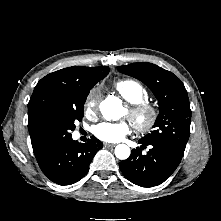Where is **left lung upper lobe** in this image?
<instances>
[{
	"label": "left lung upper lobe",
	"instance_id": "obj_1",
	"mask_svg": "<svg viewBox=\"0 0 221 221\" xmlns=\"http://www.w3.org/2000/svg\"><path fill=\"white\" fill-rule=\"evenodd\" d=\"M117 69L142 81L158 100L155 129L141 140L169 145L184 152L190 135L191 109L183 83L172 72L151 63H132Z\"/></svg>",
	"mask_w": 221,
	"mask_h": 221
}]
</instances>
